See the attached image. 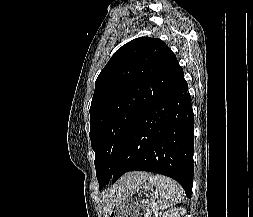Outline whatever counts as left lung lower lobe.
<instances>
[{
  "instance_id": "obj_1",
  "label": "left lung lower lobe",
  "mask_w": 253,
  "mask_h": 217,
  "mask_svg": "<svg viewBox=\"0 0 253 217\" xmlns=\"http://www.w3.org/2000/svg\"><path fill=\"white\" fill-rule=\"evenodd\" d=\"M194 115L184 73L133 122L121 145L110 181L128 171L169 176L191 197L193 185Z\"/></svg>"
}]
</instances>
